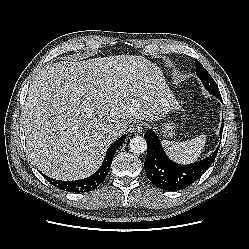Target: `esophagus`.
Wrapping results in <instances>:
<instances>
[{
  "label": "esophagus",
  "instance_id": "1",
  "mask_svg": "<svg viewBox=\"0 0 249 249\" xmlns=\"http://www.w3.org/2000/svg\"><path fill=\"white\" fill-rule=\"evenodd\" d=\"M143 131V124L142 123H136L135 125L132 126L131 132L138 135L141 134Z\"/></svg>",
  "mask_w": 249,
  "mask_h": 249
}]
</instances>
